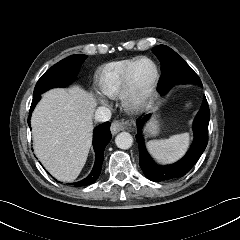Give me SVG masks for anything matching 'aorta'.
I'll return each mask as SVG.
<instances>
[{"label":"aorta","mask_w":240,"mask_h":240,"mask_svg":"<svg viewBox=\"0 0 240 240\" xmlns=\"http://www.w3.org/2000/svg\"><path fill=\"white\" fill-rule=\"evenodd\" d=\"M115 143L120 149H129L133 144V137L128 132H121L116 136Z\"/></svg>","instance_id":"aorta-1"}]
</instances>
